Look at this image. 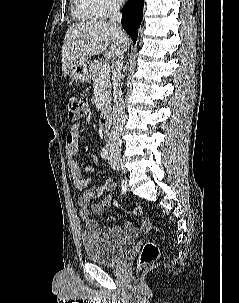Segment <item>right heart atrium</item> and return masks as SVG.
<instances>
[{
	"instance_id": "1",
	"label": "right heart atrium",
	"mask_w": 239,
	"mask_h": 303,
	"mask_svg": "<svg viewBox=\"0 0 239 303\" xmlns=\"http://www.w3.org/2000/svg\"><path fill=\"white\" fill-rule=\"evenodd\" d=\"M92 15L107 18L120 10L123 0H86Z\"/></svg>"
}]
</instances>
